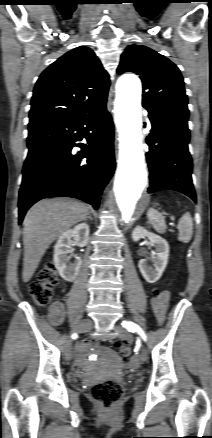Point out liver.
Here are the masks:
<instances>
[{"label":"liver","instance_id":"liver-1","mask_svg":"<svg viewBox=\"0 0 212 438\" xmlns=\"http://www.w3.org/2000/svg\"><path fill=\"white\" fill-rule=\"evenodd\" d=\"M88 214L84 203L71 199L41 200L29 209L23 222L24 282L30 281L50 244Z\"/></svg>","mask_w":212,"mask_h":438}]
</instances>
